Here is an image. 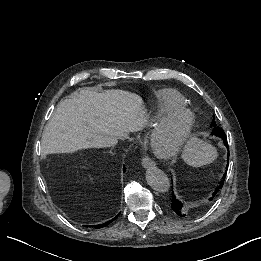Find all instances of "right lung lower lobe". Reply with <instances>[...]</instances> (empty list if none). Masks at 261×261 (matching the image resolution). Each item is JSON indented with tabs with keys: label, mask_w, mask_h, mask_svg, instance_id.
Masks as SVG:
<instances>
[{
	"label": "right lung lower lobe",
	"mask_w": 261,
	"mask_h": 261,
	"mask_svg": "<svg viewBox=\"0 0 261 261\" xmlns=\"http://www.w3.org/2000/svg\"><path fill=\"white\" fill-rule=\"evenodd\" d=\"M123 171L125 172V167H124V170H123ZM116 217H117V216H116ZM116 217L113 218L112 220H115ZM112 220L107 221V222H105V223H103V224H99V225L93 226V227H94V228H102V227H105V226H107L110 222H112Z\"/></svg>",
	"instance_id": "98d812e1"
}]
</instances>
